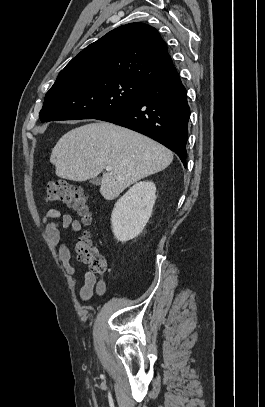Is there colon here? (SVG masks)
I'll list each match as a JSON object with an SVG mask.
<instances>
[{
    "label": "colon",
    "mask_w": 265,
    "mask_h": 407,
    "mask_svg": "<svg viewBox=\"0 0 265 407\" xmlns=\"http://www.w3.org/2000/svg\"><path fill=\"white\" fill-rule=\"evenodd\" d=\"M46 202H63L84 217L90 220L89 197L79 187L69 185L66 182H49L45 187ZM78 259L91 266L92 269L103 271L107 266L106 259L96 250L88 239H81L76 246Z\"/></svg>",
    "instance_id": "obj_1"
}]
</instances>
